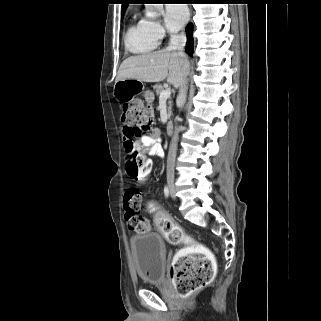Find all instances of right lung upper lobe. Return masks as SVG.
Here are the masks:
<instances>
[{
	"label": "right lung upper lobe",
	"instance_id": "1",
	"mask_svg": "<svg viewBox=\"0 0 321 321\" xmlns=\"http://www.w3.org/2000/svg\"><path fill=\"white\" fill-rule=\"evenodd\" d=\"M122 13H124V10L127 8V5L130 3L131 0H122Z\"/></svg>",
	"mask_w": 321,
	"mask_h": 321
}]
</instances>
